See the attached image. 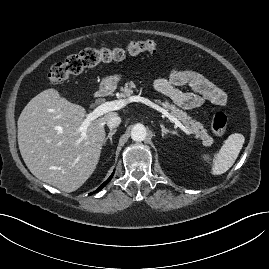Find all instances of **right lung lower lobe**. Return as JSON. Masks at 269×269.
<instances>
[{"instance_id": "1", "label": "right lung lower lobe", "mask_w": 269, "mask_h": 269, "mask_svg": "<svg viewBox=\"0 0 269 269\" xmlns=\"http://www.w3.org/2000/svg\"><path fill=\"white\" fill-rule=\"evenodd\" d=\"M113 175H114V172L99 188H97L94 192H91L89 195H92V194L97 193L98 191H100L112 179Z\"/></svg>"}]
</instances>
